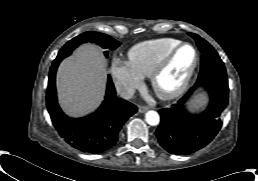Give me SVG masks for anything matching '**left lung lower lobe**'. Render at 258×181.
<instances>
[{
  "mask_svg": "<svg viewBox=\"0 0 258 181\" xmlns=\"http://www.w3.org/2000/svg\"><path fill=\"white\" fill-rule=\"evenodd\" d=\"M203 85L210 96L206 111L189 115L184 105L193 91ZM229 88L227 75L209 74L197 80L194 87L177 104L159 110L161 122L156 130L160 145L169 153L189 155L209 144L219 132L221 115L228 105Z\"/></svg>",
  "mask_w": 258,
  "mask_h": 181,
  "instance_id": "obj_1",
  "label": "left lung lower lobe"
}]
</instances>
